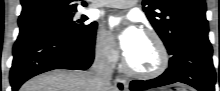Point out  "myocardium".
Returning a JSON list of instances; mask_svg holds the SVG:
<instances>
[{
  "instance_id": "f54148a6",
  "label": "myocardium",
  "mask_w": 220,
  "mask_h": 91,
  "mask_svg": "<svg viewBox=\"0 0 220 91\" xmlns=\"http://www.w3.org/2000/svg\"><path fill=\"white\" fill-rule=\"evenodd\" d=\"M143 34L149 36L155 44V47L158 52V58H159L157 66L150 71H138L130 67V65L127 62L126 57L124 56L123 62H122L123 70L127 75L134 77V78L154 79L162 75L167 70L169 66V62H170L169 53H168V49L166 47L165 42L155 30L145 29L143 31Z\"/></svg>"
}]
</instances>
